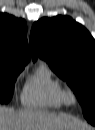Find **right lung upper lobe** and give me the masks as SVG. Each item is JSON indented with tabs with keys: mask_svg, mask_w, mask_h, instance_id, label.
<instances>
[{
	"mask_svg": "<svg viewBox=\"0 0 95 130\" xmlns=\"http://www.w3.org/2000/svg\"><path fill=\"white\" fill-rule=\"evenodd\" d=\"M26 34L24 20L0 14V67L24 68L29 62Z\"/></svg>",
	"mask_w": 95,
	"mask_h": 130,
	"instance_id": "1",
	"label": "right lung upper lobe"
}]
</instances>
